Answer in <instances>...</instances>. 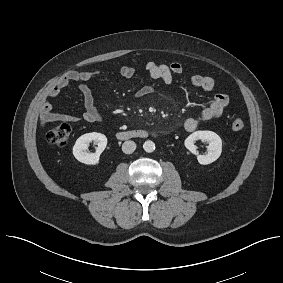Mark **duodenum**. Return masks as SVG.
I'll return each mask as SVG.
<instances>
[{
	"instance_id": "1",
	"label": "duodenum",
	"mask_w": 283,
	"mask_h": 283,
	"mask_svg": "<svg viewBox=\"0 0 283 283\" xmlns=\"http://www.w3.org/2000/svg\"><path fill=\"white\" fill-rule=\"evenodd\" d=\"M148 135H149V132L143 129L119 131L116 133V137L121 140L130 139V138H144V137H147ZM152 135L156 137L158 136V133L154 132Z\"/></svg>"
}]
</instances>
